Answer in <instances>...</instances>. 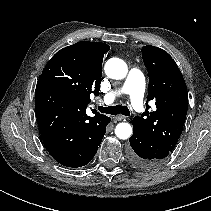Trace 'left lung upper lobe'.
<instances>
[{
  "label": "left lung upper lobe",
  "instance_id": "left-lung-upper-lobe-1",
  "mask_svg": "<svg viewBox=\"0 0 211 211\" xmlns=\"http://www.w3.org/2000/svg\"><path fill=\"white\" fill-rule=\"evenodd\" d=\"M142 58L148 71V101H155L141 116L133 118V126L172 151L179 139L188 110V93L184 78L172 57L155 46L142 47Z\"/></svg>",
  "mask_w": 211,
  "mask_h": 211
}]
</instances>
